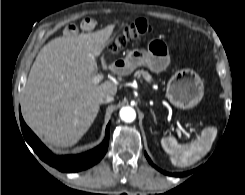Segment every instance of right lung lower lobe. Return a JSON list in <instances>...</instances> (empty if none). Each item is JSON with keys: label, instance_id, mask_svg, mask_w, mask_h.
I'll list each match as a JSON object with an SVG mask.
<instances>
[{"label": "right lung lower lobe", "instance_id": "right-lung-lower-lobe-1", "mask_svg": "<svg viewBox=\"0 0 245 195\" xmlns=\"http://www.w3.org/2000/svg\"><path fill=\"white\" fill-rule=\"evenodd\" d=\"M20 124L25 140L35 153L45 163L62 172H78L95 165L103 158L108 148L110 124L107 125L105 139L99 146L79 155L66 156H56L46 148L25 124L21 113Z\"/></svg>", "mask_w": 245, "mask_h": 195}]
</instances>
